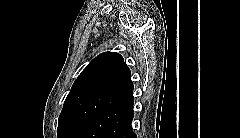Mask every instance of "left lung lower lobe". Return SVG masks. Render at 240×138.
I'll list each match as a JSON object with an SVG mask.
<instances>
[{"label":"left lung lower lobe","mask_w":240,"mask_h":138,"mask_svg":"<svg viewBox=\"0 0 240 138\" xmlns=\"http://www.w3.org/2000/svg\"><path fill=\"white\" fill-rule=\"evenodd\" d=\"M133 115V83L129 72L81 138H136L131 129Z\"/></svg>","instance_id":"1"}]
</instances>
